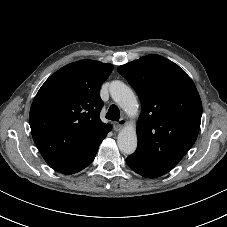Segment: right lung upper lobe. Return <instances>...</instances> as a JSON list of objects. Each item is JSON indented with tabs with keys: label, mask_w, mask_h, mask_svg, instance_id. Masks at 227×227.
<instances>
[{
	"label": "right lung upper lobe",
	"mask_w": 227,
	"mask_h": 227,
	"mask_svg": "<svg viewBox=\"0 0 227 227\" xmlns=\"http://www.w3.org/2000/svg\"><path fill=\"white\" fill-rule=\"evenodd\" d=\"M113 70L94 60L70 63L51 75L36 94L29 115L33 140L54 170L73 174L95 158L111 126L100 120L99 91Z\"/></svg>",
	"instance_id": "obj_1"
}]
</instances>
